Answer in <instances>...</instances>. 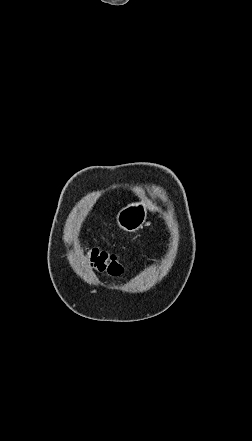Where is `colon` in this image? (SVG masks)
Returning <instances> with one entry per match:
<instances>
[{"label":"colon","instance_id":"colon-1","mask_svg":"<svg viewBox=\"0 0 252 441\" xmlns=\"http://www.w3.org/2000/svg\"><path fill=\"white\" fill-rule=\"evenodd\" d=\"M85 255L91 266L99 272H107L110 275H119L123 272V266L115 254L99 248H86Z\"/></svg>","mask_w":252,"mask_h":441}]
</instances>
